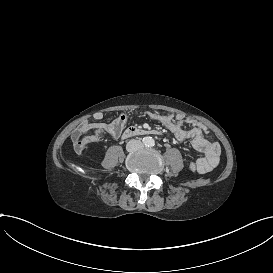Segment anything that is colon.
Returning a JSON list of instances; mask_svg holds the SVG:
<instances>
[{"label":"colon","mask_w":273,"mask_h":273,"mask_svg":"<svg viewBox=\"0 0 273 273\" xmlns=\"http://www.w3.org/2000/svg\"><path fill=\"white\" fill-rule=\"evenodd\" d=\"M85 135L86 128L84 126H76L74 128L72 146L78 151H86L88 149V142L84 139Z\"/></svg>","instance_id":"5ec220e1"}]
</instances>
